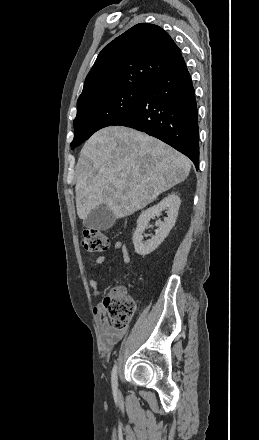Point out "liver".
Here are the masks:
<instances>
[{"mask_svg": "<svg viewBox=\"0 0 259 440\" xmlns=\"http://www.w3.org/2000/svg\"><path fill=\"white\" fill-rule=\"evenodd\" d=\"M190 160L166 143L124 126L96 132L76 165L77 214L85 219L99 206L116 218L129 216L184 181Z\"/></svg>", "mask_w": 259, "mask_h": 440, "instance_id": "1", "label": "liver"}]
</instances>
